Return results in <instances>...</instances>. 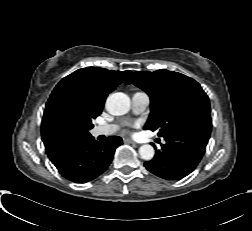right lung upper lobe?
<instances>
[{
  "label": "right lung upper lobe",
  "mask_w": 252,
  "mask_h": 231,
  "mask_svg": "<svg viewBox=\"0 0 252 231\" xmlns=\"http://www.w3.org/2000/svg\"><path fill=\"white\" fill-rule=\"evenodd\" d=\"M129 73L130 71H114L99 67L82 68L63 78L51 96L66 94L83 107L101 113L108 94L121 84ZM42 140L49 159L56 160L65 144L53 143L43 134Z\"/></svg>",
  "instance_id": "right-lung-upper-lobe-1"
}]
</instances>
